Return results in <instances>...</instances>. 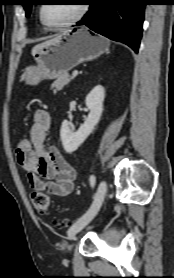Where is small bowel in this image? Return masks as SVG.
<instances>
[{"label":"small bowel","instance_id":"small-bowel-1","mask_svg":"<svg viewBox=\"0 0 174 278\" xmlns=\"http://www.w3.org/2000/svg\"><path fill=\"white\" fill-rule=\"evenodd\" d=\"M50 125L49 112L36 110L29 133L31 148L25 152L16 150V160L34 191L63 197L74 189L76 170L56 147L45 146Z\"/></svg>","mask_w":174,"mask_h":278}]
</instances>
